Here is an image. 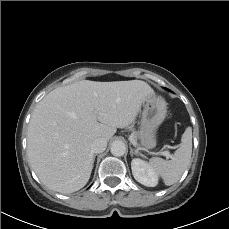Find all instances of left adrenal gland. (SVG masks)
Instances as JSON below:
<instances>
[{"label": "left adrenal gland", "mask_w": 229, "mask_h": 229, "mask_svg": "<svg viewBox=\"0 0 229 229\" xmlns=\"http://www.w3.org/2000/svg\"><path fill=\"white\" fill-rule=\"evenodd\" d=\"M130 155L133 156V155H137V153L130 147Z\"/></svg>", "instance_id": "obj_1"}]
</instances>
